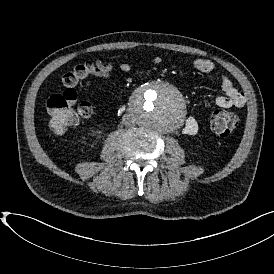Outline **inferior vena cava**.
Wrapping results in <instances>:
<instances>
[{
  "label": "inferior vena cava",
  "instance_id": "inferior-vena-cava-1",
  "mask_svg": "<svg viewBox=\"0 0 274 274\" xmlns=\"http://www.w3.org/2000/svg\"><path fill=\"white\" fill-rule=\"evenodd\" d=\"M123 123H124V125H126V126H128V120H127V117H123Z\"/></svg>",
  "mask_w": 274,
  "mask_h": 274
}]
</instances>
